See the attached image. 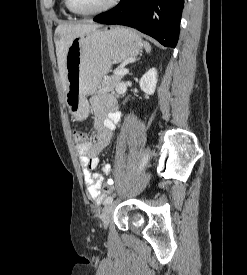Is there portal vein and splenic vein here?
Listing matches in <instances>:
<instances>
[{
    "instance_id": "1",
    "label": "portal vein and splenic vein",
    "mask_w": 247,
    "mask_h": 275,
    "mask_svg": "<svg viewBox=\"0 0 247 275\" xmlns=\"http://www.w3.org/2000/svg\"><path fill=\"white\" fill-rule=\"evenodd\" d=\"M128 73V70L127 69H118V70H115L114 71V74L115 75H119V76H123V75H125V74H127Z\"/></svg>"
}]
</instances>
